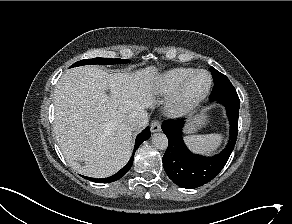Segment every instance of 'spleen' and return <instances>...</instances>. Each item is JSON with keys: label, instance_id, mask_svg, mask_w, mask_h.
<instances>
[{"label": "spleen", "instance_id": "1", "mask_svg": "<svg viewBox=\"0 0 292 224\" xmlns=\"http://www.w3.org/2000/svg\"><path fill=\"white\" fill-rule=\"evenodd\" d=\"M184 141L194 153L209 155L218 150L223 141V135L218 133L190 135L184 137Z\"/></svg>", "mask_w": 292, "mask_h": 224}]
</instances>
